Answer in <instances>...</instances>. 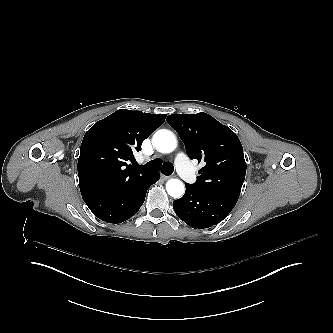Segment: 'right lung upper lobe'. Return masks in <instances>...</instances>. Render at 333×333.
I'll return each instance as SVG.
<instances>
[{
  "label": "right lung upper lobe",
  "instance_id": "obj_1",
  "mask_svg": "<svg viewBox=\"0 0 333 333\" xmlns=\"http://www.w3.org/2000/svg\"><path fill=\"white\" fill-rule=\"evenodd\" d=\"M166 115L120 109L96 122L85 134L78 160L79 185L116 183L145 170L126 163L135 161L133 150L165 121Z\"/></svg>",
  "mask_w": 333,
  "mask_h": 333
}]
</instances>
